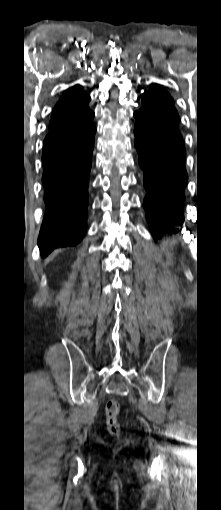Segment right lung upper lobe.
Here are the masks:
<instances>
[{"instance_id": "1", "label": "right lung upper lobe", "mask_w": 221, "mask_h": 510, "mask_svg": "<svg viewBox=\"0 0 221 510\" xmlns=\"http://www.w3.org/2000/svg\"><path fill=\"white\" fill-rule=\"evenodd\" d=\"M90 96L81 86L75 85L56 104L49 125L48 137H57L74 132L94 117L89 109Z\"/></svg>"}]
</instances>
